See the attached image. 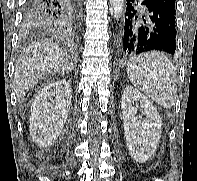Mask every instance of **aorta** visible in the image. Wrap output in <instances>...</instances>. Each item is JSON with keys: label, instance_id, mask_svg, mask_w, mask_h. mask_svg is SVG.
Here are the masks:
<instances>
[{"label": "aorta", "instance_id": "aorta-1", "mask_svg": "<svg viewBox=\"0 0 197 181\" xmlns=\"http://www.w3.org/2000/svg\"><path fill=\"white\" fill-rule=\"evenodd\" d=\"M114 17L119 20L123 13L124 0H110Z\"/></svg>", "mask_w": 197, "mask_h": 181}]
</instances>
